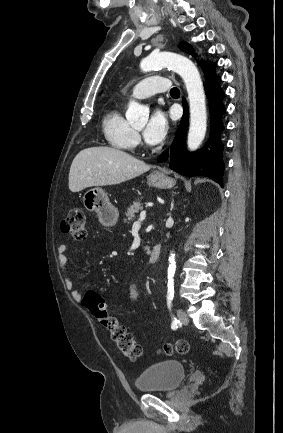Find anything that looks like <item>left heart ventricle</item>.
Here are the masks:
<instances>
[{"instance_id":"1","label":"left heart ventricle","mask_w":283,"mask_h":433,"mask_svg":"<svg viewBox=\"0 0 283 433\" xmlns=\"http://www.w3.org/2000/svg\"><path fill=\"white\" fill-rule=\"evenodd\" d=\"M144 126V124L143 125H141V126H139V127H137L138 129H141L142 127Z\"/></svg>"}]
</instances>
